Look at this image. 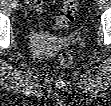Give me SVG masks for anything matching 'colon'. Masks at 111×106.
Listing matches in <instances>:
<instances>
[{"label":"colon","instance_id":"obj_1","mask_svg":"<svg viewBox=\"0 0 111 106\" xmlns=\"http://www.w3.org/2000/svg\"><path fill=\"white\" fill-rule=\"evenodd\" d=\"M77 11V2L74 0H66L63 8L54 24L55 28H65L75 18ZM73 61V55L69 51H64L59 55L58 62L62 66H69Z\"/></svg>","mask_w":111,"mask_h":106}]
</instances>
